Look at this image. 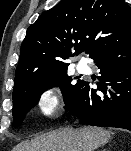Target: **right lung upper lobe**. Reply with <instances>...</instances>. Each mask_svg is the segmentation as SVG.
Returning <instances> with one entry per match:
<instances>
[{"instance_id":"obj_1","label":"right lung upper lobe","mask_w":131,"mask_h":151,"mask_svg":"<svg viewBox=\"0 0 131 151\" xmlns=\"http://www.w3.org/2000/svg\"><path fill=\"white\" fill-rule=\"evenodd\" d=\"M130 32L131 10L124 0H62L28 27L14 89L68 66L64 59L82 52L91 56Z\"/></svg>"}]
</instances>
